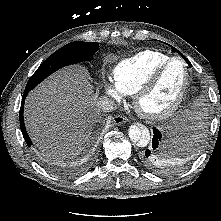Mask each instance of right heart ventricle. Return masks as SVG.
<instances>
[{"label":"right heart ventricle","mask_w":221,"mask_h":221,"mask_svg":"<svg viewBox=\"0 0 221 221\" xmlns=\"http://www.w3.org/2000/svg\"><path fill=\"white\" fill-rule=\"evenodd\" d=\"M170 58L165 53L145 50L120 61L113 68V77L126 94H135L152 73Z\"/></svg>","instance_id":"1"}]
</instances>
